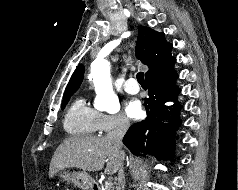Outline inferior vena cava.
<instances>
[{
	"label": "inferior vena cava",
	"instance_id": "inferior-vena-cava-1",
	"mask_svg": "<svg viewBox=\"0 0 238 190\" xmlns=\"http://www.w3.org/2000/svg\"><path fill=\"white\" fill-rule=\"evenodd\" d=\"M129 128V121L127 118H120L116 128L107 134V138L110 139L114 145L121 151V154L124 155L123 151L121 150L122 147V139ZM123 157L120 162V168L118 172V185L116 190H124L125 186V175L123 171Z\"/></svg>",
	"mask_w": 238,
	"mask_h": 190
}]
</instances>
